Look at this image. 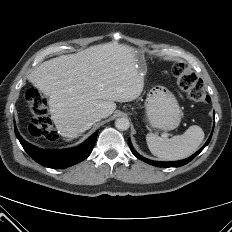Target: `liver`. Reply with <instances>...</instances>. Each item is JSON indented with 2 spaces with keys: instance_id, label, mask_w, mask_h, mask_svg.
Here are the masks:
<instances>
[{
  "instance_id": "obj_1",
  "label": "liver",
  "mask_w": 232,
  "mask_h": 232,
  "mask_svg": "<svg viewBox=\"0 0 232 232\" xmlns=\"http://www.w3.org/2000/svg\"><path fill=\"white\" fill-rule=\"evenodd\" d=\"M146 73L138 52L127 45L106 43L62 55L35 68L29 81L49 96V111L60 135L76 138L91 114L107 118L116 102L140 96Z\"/></svg>"
}]
</instances>
